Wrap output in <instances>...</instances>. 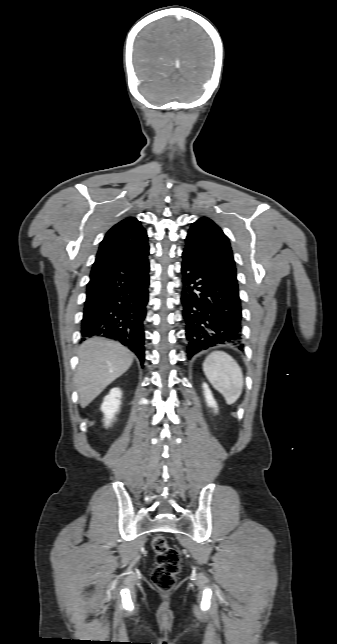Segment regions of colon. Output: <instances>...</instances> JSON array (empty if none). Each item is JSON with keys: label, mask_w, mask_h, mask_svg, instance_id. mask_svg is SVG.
I'll list each match as a JSON object with an SVG mask.
<instances>
[{"label": "colon", "mask_w": 337, "mask_h": 644, "mask_svg": "<svg viewBox=\"0 0 337 644\" xmlns=\"http://www.w3.org/2000/svg\"><path fill=\"white\" fill-rule=\"evenodd\" d=\"M156 566L152 572L154 585L162 591H170L176 585V576L180 571L179 552L171 547L163 536H156L152 541Z\"/></svg>", "instance_id": "colon-1"}]
</instances>
